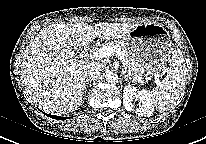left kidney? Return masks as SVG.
I'll use <instances>...</instances> for the list:
<instances>
[{"label":"left kidney","instance_id":"left-kidney-1","mask_svg":"<svg viewBox=\"0 0 206 144\" xmlns=\"http://www.w3.org/2000/svg\"><path fill=\"white\" fill-rule=\"evenodd\" d=\"M133 100H138L139 108H134ZM123 105L127 111H134L138 116H151L154 111V104L150 93L146 90L137 91L134 86L127 85L123 90Z\"/></svg>","mask_w":206,"mask_h":144}]
</instances>
